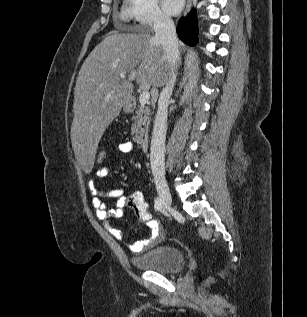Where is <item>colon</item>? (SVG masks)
I'll return each instance as SVG.
<instances>
[{
  "mask_svg": "<svg viewBox=\"0 0 307 317\" xmlns=\"http://www.w3.org/2000/svg\"><path fill=\"white\" fill-rule=\"evenodd\" d=\"M107 159V152L100 149L96 153L95 162L98 165H103ZM127 206L131 208L136 217L143 222H150L152 217L148 211V205L141 192H133L127 196Z\"/></svg>",
  "mask_w": 307,
  "mask_h": 317,
  "instance_id": "5ec220e1",
  "label": "colon"
}]
</instances>
